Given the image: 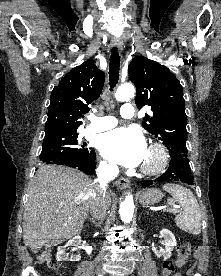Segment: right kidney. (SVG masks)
<instances>
[{"label":"right kidney","instance_id":"right-kidney-1","mask_svg":"<svg viewBox=\"0 0 221 276\" xmlns=\"http://www.w3.org/2000/svg\"><path fill=\"white\" fill-rule=\"evenodd\" d=\"M81 243V237L76 236L69 240L65 246H59L57 249L56 259L57 261H80L81 256L80 254L72 255L70 258L68 257L66 253V248L69 246H78Z\"/></svg>","mask_w":221,"mask_h":276}]
</instances>
